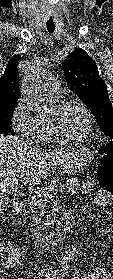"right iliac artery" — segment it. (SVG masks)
<instances>
[{
  "mask_svg": "<svg viewBox=\"0 0 113 279\" xmlns=\"http://www.w3.org/2000/svg\"><path fill=\"white\" fill-rule=\"evenodd\" d=\"M40 275L43 277H47L46 279H54L56 275L58 276H63L64 275V272L63 270H56V271H48L47 273L44 272V271H41Z\"/></svg>",
  "mask_w": 113,
  "mask_h": 279,
  "instance_id": "obj_1",
  "label": "right iliac artery"
}]
</instances>
